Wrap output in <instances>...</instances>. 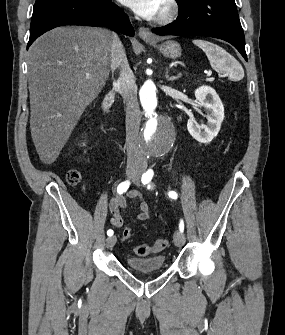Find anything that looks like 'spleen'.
I'll return each instance as SVG.
<instances>
[{
    "instance_id": "3e777b00",
    "label": "spleen",
    "mask_w": 285,
    "mask_h": 335,
    "mask_svg": "<svg viewBox=\"0 0 285 335\" xmlns=\"http://www.w3.org/2000/svg\"><path fill=\"white\" fill-rule=\"evenodd\" d=\"M193 44L201 48L203 52H205L211 68L217 70L219 66L225 68L227 66V60L229 58L227 52L219 48V46H215V44H210V42H204V40H193Z\"/></svg>"
}]
</instances>
